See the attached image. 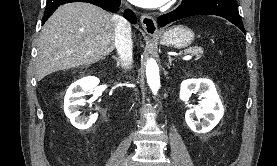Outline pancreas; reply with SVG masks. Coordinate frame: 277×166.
Masks as SVG:
<instances>
[{
    "label": "pancreas",
    "instance_id": "obj_1",
    "mask_svg": "<svg viewBox=\"0 0 277 166\" xmlns=\"http://www.w3.org/2000/svg\"><path fill=\"white\" fill-rule=\"evenodd\" d=\"M186 53H192L196 58L202 57L203 49L201 47H193L185 50Z\"/></svg>",
    "mask_w": 277,
    "mask_h": 166
}]
</instances>
